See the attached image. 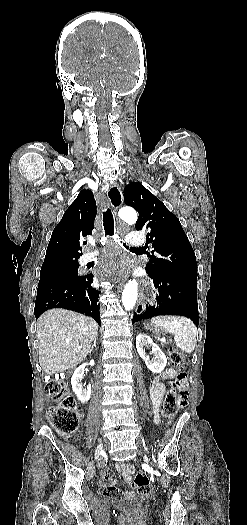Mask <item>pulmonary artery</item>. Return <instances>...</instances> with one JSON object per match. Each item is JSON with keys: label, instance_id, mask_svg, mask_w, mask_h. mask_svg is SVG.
Instances as JSON below:
<instances>
[{"label": "pulmonary artery", "instance_id": "pulmonary-artery-1", "mask_svg": "<svg viewBox=\"0 0 247 525\" xmlns=\"http://www.w3.org/2000/svg\"><path fill=\"white\" fill-rule=\"evenodd\" d=\"M125 242L132 247H139L144 244L145 236H125ZM94 259L95 254L91 252V248L89 247L79 261H93Z\"/></svg>", "mask_w": 247, "mask_h": 525}]
</instances>
